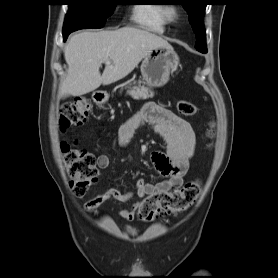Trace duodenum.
Listing matches in <instances>:
<instances>
[{"label":"duodenum","mask_w":278,"mask_h":278,"mask_svg":"<svg viewBox=\"0 0 278 278\" xmlns=\"http://www.w3.org/2000/svg\"><path fill=\"white\" fill-rule=\"evenodd\" d=\"M93 98L96 103H102L105 100L106 95L102 91H96L93 95Z\"/></svg>","instance_id":"obj_1"}]
</instances>
